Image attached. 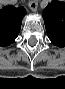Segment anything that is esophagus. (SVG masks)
Here are the masks:
<instances>
[{"instance_id": "esophagus-1", "label": "esophagus", "mask_w": 65, "mask_h": 89, "mask_svg": "<svg viewBox=\"0 0 65 89\" xmlns=\"http://www.w3.org/2000/svg\"><path fill=\"white\" fill-rule=\"evenodd\" d=\"M29 7L33 12L37 11V7H38V1L37 0H31L29 2Z\"/></svg>"}]
</instances>
